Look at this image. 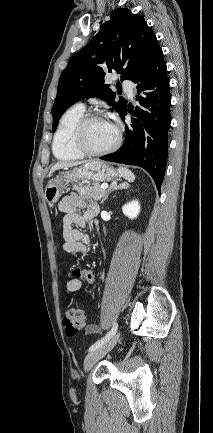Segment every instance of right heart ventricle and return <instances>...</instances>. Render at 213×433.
Listing matches in <instances>:
<instances>
[{
	"mask_svg": "<svg viewBox=\"0 0 213 433\" xmlns=\"http://www.w3.org/2000/svg\"><path fill=\"white\" fill-rule=\"evenodd\" d=\"M84 114V108L78 105L67 110L62 116L53 139V153L58 160L69 161L83 157L72 141L73 130Z\"/></svg>",
	"mask_w": 213,
	"mask_h": 433,
	"instance_id": "right-heart-ventricle-1",
	"label": "right heart ventricle"
}]
</instances>
